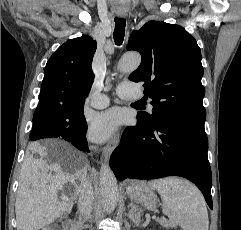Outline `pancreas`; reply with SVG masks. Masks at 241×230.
Listing matches in <instances>:
<instances>
[{
  "mask_svg": "<svg viewBox=\"0 0 241 230\" xmlns=\"http://www.w3.org/2000/svg\"><path fill=\"white\" fill-rule=\"evenodd\" d=\"M164 226H173L174 224L172 222H165L163 223Z\"/></svg>",
  "mask_w": 241,
  "mask_h": 230,
  "instance_id": "cf45deb5",
  "label": "pancreas"
}]
</instances>
